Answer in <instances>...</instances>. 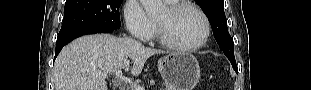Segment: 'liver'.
<instances>
[{"label": "liver", "instance_id": "6515ba94", "mask_svg": "<svg viewBox=\"0 0 311 90\" xmlns=\"http://www.w3.org/2000/svg\"><path fill=\"white\" fill-rule=\"evenodd\" d=\"M161 53L164 51L146 48L130 38L110 34L82 36L58 55L54 65L55 89L107 90L105 78L100 74L124 69L138 76L147 59Z\"/></svg>", "mask_w": 311, "mask_h": 90}]
</instances>
